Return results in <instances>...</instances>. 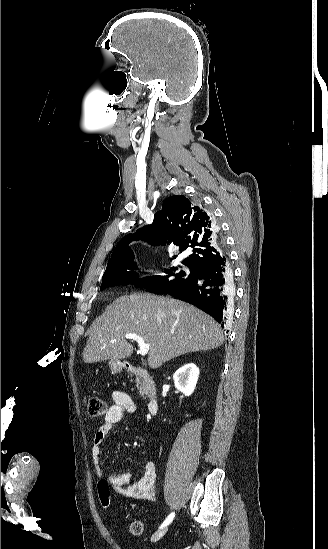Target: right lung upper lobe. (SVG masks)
Listing matches in <instances>:
<instances>
[{"label": "right lung upper lobe", "instance_id": "cb5924a9", "mask_svg": "<svg viewBox=\"0 0 328 549\" xmlns=\"http://www.w3.org/2000/svg\"><path fill=\"white\" fill-rule=\"evenodd\" d=\"M147 229L151 230L150 234ZM148 235L152 244L176 245L181 251L192 248L193 253L182 261L190 269H196L225 256L220 230L212 215L184 195H179L171 196L164 201L162 210L155 213L152 225L121 239L108 261L107 268L121 261L134 260L128 244L141 238L147 240Z\"/></svg>", "mask_w": 328, "mask_h": 549}]
</instances>
